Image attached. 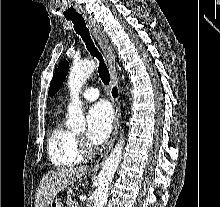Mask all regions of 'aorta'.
<instances>
[{
	"label": "aorta",
	"instance_id": "aorta-1",
	"mask_svg": "<svg viewBox=\"0 0 220 207\" xmlns=\"http://www.w3.org/2000/svg\"><path fill=\"white\" fill-rule=\"evenodd\" d=\"M94 69V61H85L75 63L69 74L68 87L70 90L71 102L68 106L66 126L70 130L80 131L84 130L86 127L79 93ZM123 145L124 139L121 138L101 168L98 175L96 190L94 192L93 207H104L107 202L110 185L122 158Z\"/></svg>",
	"mask_w": 220,
	"mask_h": 207
}]
</instances>
